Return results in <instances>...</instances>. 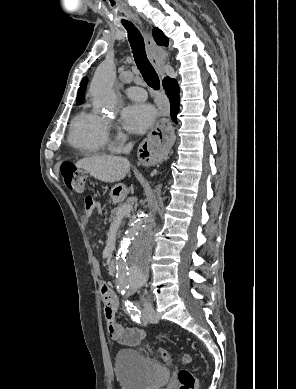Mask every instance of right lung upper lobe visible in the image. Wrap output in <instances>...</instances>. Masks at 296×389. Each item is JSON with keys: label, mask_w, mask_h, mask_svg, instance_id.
<instances>
[{"label": "right lung upper lobe", "mask_w": 296, "mask_h": 389, "mask_svg": "<svg viewBox=\"0 0 296 389\" xmlns=\"http://www.w3.org/2000/svg\"><path fill=\"white\" fill-rule=\"evenodd\" d=\"M153 37L154 40L157 42L159 45L167 46L168 45V38L165 37L163 32L159 30L158 28L153 29ZM86 84H87V79L84 78L81 82L80 88L78 90L77 94V101L82 102L84 100V93L86 90Z\"/></svg>", "instance_id": "1"}]
</instances>
